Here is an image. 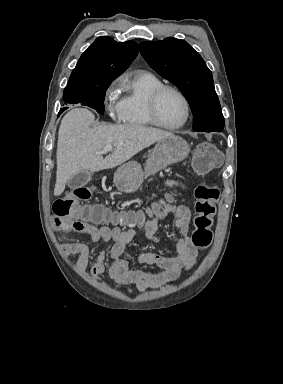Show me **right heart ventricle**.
I'll return each mask as SVG.
<instances>
[{
    "instance_id": "1",
    "label": "right heart ventricle",
    "mask_w": 283,
    "mask_h": 384,
    "mask_svg": "<svg viewBox=\"0 0 283 384\" xmlns=\"http://www.w3.org/2000/svg\"><path fill=\"white\" fill-rule=\"evenodd\" d=\"M162 86L161 81L152 74L137 72L127 77L124 83V95L121 98V121L138 129L151 128L145 106L148 97Z\"/></svg>"
}]
</instances>
